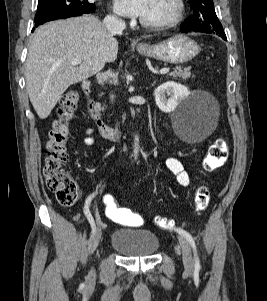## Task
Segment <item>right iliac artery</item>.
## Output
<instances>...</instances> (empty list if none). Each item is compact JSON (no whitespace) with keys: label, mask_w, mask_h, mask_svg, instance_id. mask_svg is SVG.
Here are the masks:
<instances>
[{"label":"right iliac artery","mask_w":267,"mask_h":301,"mask_svg":"<svg viewBox=\"0 0 267 301\" xmlns=\"http://www.w3.org/2000/svg\"><path fill=\"white\" fill-rule=\"evenodd\" d=\"M97 194V192L93 193L85 202V206H84V212L87 216V219L91 225V228H92V235L95 233L96 231V225H95V221H94V218L92 217V215L90 213H88L87 209L89 207V203L91 202V198L94 197L95 195Z\"/></svg>","instance_id":"obj_1"}]
</instances>
